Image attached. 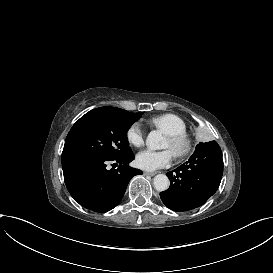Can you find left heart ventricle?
I'll return each instance as SVG.
<instances>
[{
    "label": "left heart ventricle",
    "instance_id": "obj_1",
    "mask_svg": "<svg viewBox=\"0 0 273 273\" xmlns=\"http://www.w3.org/2000/svg\"><path fill=\"white\" fill-rule=\"evenodd\" d=\"M165 146H168L170 148H173L174 147V143H172L168 137H166V140H165Z\"/></svg>",
    "mask_w": 273,
    "mask_h": 273
}]
</instances>
